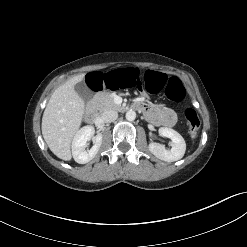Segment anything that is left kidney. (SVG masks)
Returning <instances> with one entry per match:
<instances>
[{
	"label": "left kidney",
	"mask_w": 247,
	"mask_h": 247,
	"mask_svg": "<svg viewBox=\"0 0 247 247\" xmlns=\"http://www.w3.org/2000/svg\"><path fill=\"white\" fill-rule=\"evenodd\" d=\"M159 134L171 140V148L166 149L164 145L152 142L149 144L150 152L166 162H174L181 159L186 150L184 138L177 131L166 127L159 128Z\"/></svg>",
	"instance_id": "left-kidney-1"
}]
</instances>
